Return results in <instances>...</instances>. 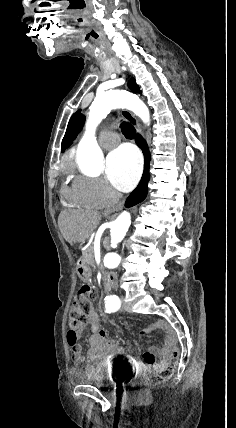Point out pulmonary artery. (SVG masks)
I'll list each match as a JSON object with an SVG mask.
<instances>
[{
    "mask_svg": "<svg viewBox=\"0 0 236 428\" xmlns=\"http://www.w3.org/2000/svg\"><path fill=\"white\" fill-rule=\"evenodd\" d=\"M109 135H112L115 137V140H119L120 137L116 132H109ZM116 145L114 143H108V142H103L102 143V147L105 149H111L114 148Z\"/></svg>",
    "mask_w": 236,
    "mask_h": 428,
    "instance_id": "e3ab8cb5",
    "label": "pulmonary artery"
}]
</instances>
